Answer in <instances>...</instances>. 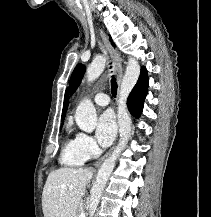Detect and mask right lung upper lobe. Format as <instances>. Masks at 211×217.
Returning <instances> with one entry per match:
<instances>
[{"mask_svg":"<svg viewBox=\"0 0 211 217\" xmlns=\"http://www.w3.org/2000/svg\"><path fill=\"white\" fill-rule=\"evenodd\" d=\"M67 107H68V91L66 90V93H65V97H64V105H63V112H62V121L65 117V113L67 111Z\"/></svg>","mask_w":211,"mask_h":217,"instance_id":"cb5924a9","label":"right lung upper lobe"}]
</instances>
